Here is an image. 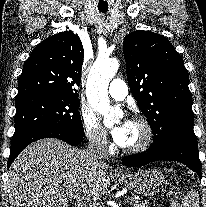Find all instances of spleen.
Returning a JSON list of instances; mask_svg holds the SVG:
<instances>
[{
    "mask_svg": "<svg viewBox=\"0 0 206 207\" xmlns=\"http://www.w3.org/2000/svg\"><path fill=\"white\" fill-rule=\"evenodd\" d=\"M170 172L173 171V169L169 170ZM181 207H199V194L196 190L193 188H190L187 191V194L182 199V206Z\"/></svg>",
    "mask_w": 206,
    "mask_h": 207,
    "instance_id": "obj_1",
    "label": "spleen"
}]
</instances>
